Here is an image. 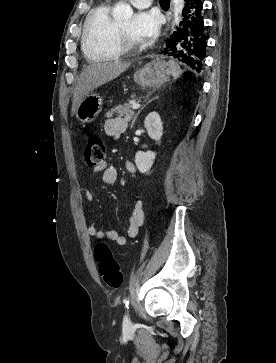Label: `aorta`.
I'll use <instances>...</instances> for the list:
<instances>
[{
    "mask_svg": "<svg viewBox=\"0 0 276 363\" xmlns=\"http://www.w3.org/2000/svg\"><path fill=\"white\" fill-rule=\"evenodd\" d=\"M173 3V31H175V27H177L181 21V15L184 8V0H172ZM112 15L116 21H128L133 16V10L130 5L119 1L113 11Z\"/></svg>",
    "mask_w": 276,
    "mask_h": 363,
    "instance_id": "762f6f07",
    "label": "aorta"
}]
</instances>
